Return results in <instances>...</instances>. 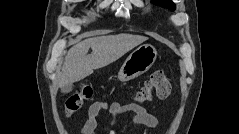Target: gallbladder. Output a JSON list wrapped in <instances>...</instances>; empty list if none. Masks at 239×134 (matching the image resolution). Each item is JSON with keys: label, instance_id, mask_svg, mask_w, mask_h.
Returning <instances> with one entry per match:
<instances>
[{"label": "gallbladder", "instance_id": "gallbladder-1", "mask_svg": "<svg viewBox=\"0 0 239 134\" xmlns=\"http://www.w3.org/2000/svg\"><path fill=\"white\" fill-rule=\"evenodd\" d=\"M73 88V84H66L61 86V92L63 93H69L70 91H72Z\"/></svg>", "mask_w": 239, "mask_h": 134}]
</instances>
